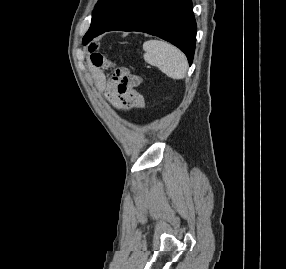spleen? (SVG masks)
Returning a JSON list of instances; mask_svg holds the SVG:
<instances>
[{"mask_svg":"<svg viewBox=\"0 0 286 269\" xmlns=\"http://www.w3.org/2000/svg\"><path fill=\"white\" fill-rule=\"evenodd\" d=\"M144 59L147 63L158 67L168 77L183 79L187 72V59L175 46L159 40L144 42Z\"/></svg>","mask_w":286,"mask_h":269,"instance_id":"obj_1","label":"spleen"}]
</instances>
